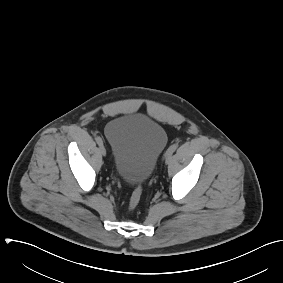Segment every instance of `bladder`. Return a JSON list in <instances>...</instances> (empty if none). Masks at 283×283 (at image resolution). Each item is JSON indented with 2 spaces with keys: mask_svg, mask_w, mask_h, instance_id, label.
I'll list each match as a JSON object with an SVG mask.
<instances>
[{
  "mask_svg": "<svg viewBox=\"0 0 283 283\" xmlns=\"http://www.w3.org/2000/svg\"><path fill=\"white\" fill-rule=\"evenodd\" d=\"M105 136L111 147L114 169L129 184L149 179L168 142L165 129L142 114L111 120L105 127Z\"/></svg>",
  "mask_w": 283,
  "mask_h": 283,
  "instance_id": "1",
  "label": "bladder"
}]
</instances>
